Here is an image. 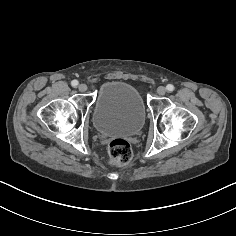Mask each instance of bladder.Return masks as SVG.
Segmentation results:
<instances>
[{"label":"bladder","mask_w":236,"mask_h":236,"mask_svg":"<svg viewBox=\"0 0 236 236\" xmlns=\"http://www.w3.org/2000/svg\"><path fill=\"white\" fill-rule=\"evenodd\" d=\"M145 117L143 100L134 86L109 81L99 89L93 112V124L98 133L135 135L142 130Z\"/></svg>","instance_id":"obj_1"}]
</instances>
